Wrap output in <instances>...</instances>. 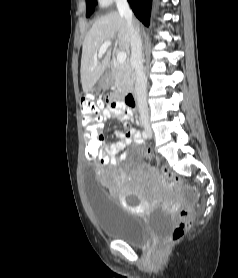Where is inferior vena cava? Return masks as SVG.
<instances>
[{
    "mask_svg": "<svg viewBox=\"0 0 238 278\" xmlns=\"http://www.w3.org/2000/svg\"><path fill=\"white\" fill-rule=\"evenodd\" d=\"M117 9L122 15L129 29L130 45H131V63L135 69L136 86L135 94L139 107V113L142 124L149 128V109L147 104V78L145 75L142 61V39L139 35V29L135 26L132 16V11L129 8L127 0H116Z\"/></svg>",
    "mask_w": 238,
    "mask_h": 278,
    "instance_id": "1",
    "label": "inferior vena cava"
}]
</instances>
